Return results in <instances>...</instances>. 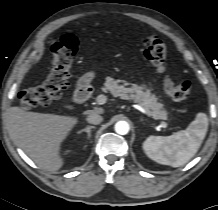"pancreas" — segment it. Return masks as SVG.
<instances>
[{
    "mask_svg": "<svg viewBox=\"0 0 218 210\" xmlns=\"http://www.w3.org/2000/svg\"><path fill=\"white\" fill-rule=\"evenodd\" d=\"M105 91H109L114 97L131 100L144 108L148 116L154 119H167V111L162 103L157 102L154 94L145 85H137L122 80L107 78Z\"/></svg>",
    "mask_w": 218,
    "mask_h": 210,
    "instance_id": "obj_1",
    "label": "pancreas"
}]
</instances>
